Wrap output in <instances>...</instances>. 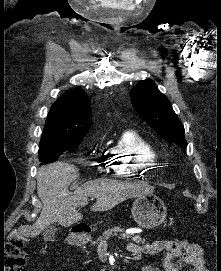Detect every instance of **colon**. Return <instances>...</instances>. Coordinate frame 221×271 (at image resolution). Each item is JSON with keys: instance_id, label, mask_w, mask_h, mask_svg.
Instances as JSON below:
<instances>
[{"instance_id": "1", "label": "colon", "mask_w": 221, "mask_h": 271, "mask_svg": "<svg viewBox=\"0 0 221 271\" xmlns=\"http://www.w3.org/2000/svg\"><path fill=\"white\" fill-rule=\"evenodd\" d=\"M24 240L15 238L10 241L6 248L5 256L0 258L1 271H26L24 266L27 252L23 250Z\"/></svg>"}]
</instances>
